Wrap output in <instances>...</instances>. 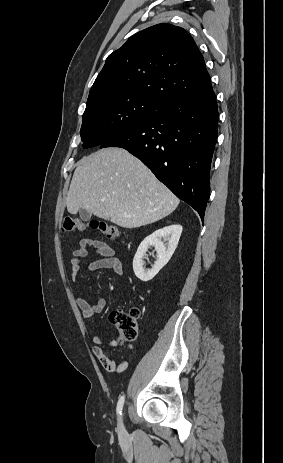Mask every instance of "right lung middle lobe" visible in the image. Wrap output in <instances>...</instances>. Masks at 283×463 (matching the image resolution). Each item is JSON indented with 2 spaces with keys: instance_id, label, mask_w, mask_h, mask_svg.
Masks as SVG:
<instances>
[{
  "instance_id": "obj_1",
  "label": "right lung middle lobe",
  "mask_w": 283,
  "mask_h": 463,
  "mask_svg": "<svg viewBox=\"0 0 283 463\" xmlns=\"http://www.w3.org/2000/svg\"><path fill=\"white\" fill-rule=\"evenodd\" d=\"M160 104L129 92H116L87 101L81 137L83 147L101 145L145 120Z\"/></svg>"
}]
</instances>
